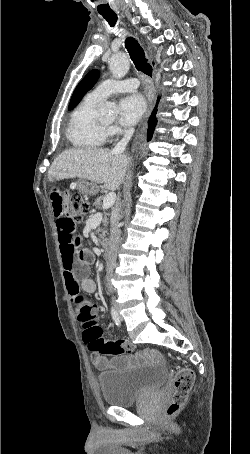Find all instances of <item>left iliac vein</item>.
<instances>
[{"mask_svg": "<svg viewBox=\"0 0 250 454\" xmlns=\"http://www.w3.org/2000/svg\"><path fill=\"white\" fill-rule=\"evenodd\" d=\"M117 313H118V310H117ZM118 317H119V320H120V321L123 320V317H122L120 314H118Z\"/></svg>", "mask_w": 250, "mask_h": 454, "instance_id": "4c4485c4", "label": "left iliac vein"}]
</instances>
